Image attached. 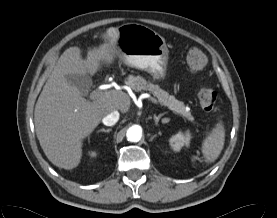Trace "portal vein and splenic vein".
Instances as JSON below:
<instances>
[{
  "instance_id": "1",
  "label": "portal vein and splenic vein",
  "mask_w": 277,
  "mask_h": 218,
  "mask_svg": "<svg viewBox=\"0 0 277 218\" xmlns=\"http://www.w3.org/2000/svg\"><path fill=\"white\" fill-rule=\"evenodd\" d=\"M103 89H105V87H101L99 90L93 91L90 94V99L91 100L97 99L100 96V93L102 92L101 90ZM145 95H146V98H149L154 104H158V101L154 97L150 96L149 94H145Z\"/></svg>"
}]
</instances>
